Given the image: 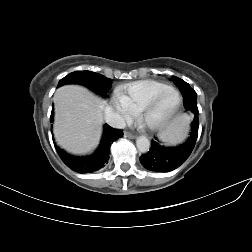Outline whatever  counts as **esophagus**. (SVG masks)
<instances>
[{
  "label": "esophagus",
  "instance_id": "1",
  "mask_svg": "<svg viewBox=\"0 0 252 252\" xmlns=\"http://www.w3.org/2000/svg\"><path fill=\"white\" fill-rule=\"evenodd\" d=\"M124 136L129 139H134L136 137L135 135H133L129 132H126V131L124 132Z\"/></svg>",
  "mask_w": 252,
  "mask_h": 252
}]
</instances>
